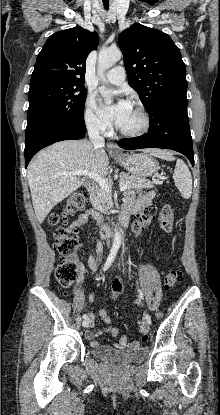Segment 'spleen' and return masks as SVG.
Segmentation results:
<instances>
[{"mask_svg":"<svg viewBox=\"0 0 220 415\" xmlns=\"http://www.w3.org/2000/svg\"><path fill=\"white\" fill-rule=\"evenodd\" d=\"M151 155L167 161H173L176 159L170 152L159 149L151 150ZM173 178L175 185L180 191L182 197L189 199L192 194V176L189 168L181 159H176Z\"/></svg>","mask_w":220,"mask_h":415,"instance_id":"1","label":"spleen"}]
</instances>
